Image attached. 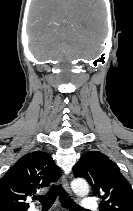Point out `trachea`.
I'll use <instances>...</instances> for the list:
<instances>
[{
	"label": "trachea",
	"instance_id": "3493384b",
	"mask_svg": "<svg viewBox=\"0 0 133 211\" xmlns=\"http://www.w3.org/2000/svg\"><path fill=\"white\" fill-rule=\"evenodd\" d=\"M58 195L61 203L70 211H85L70 198V196L66 193L61 185H52L46 195L35 196L34 199L39 200L42 203V207L44 209H49L55 202Z\"/></svg>",
	"mask_w": 133,
	"mask_h": 211
}]
</instances>
